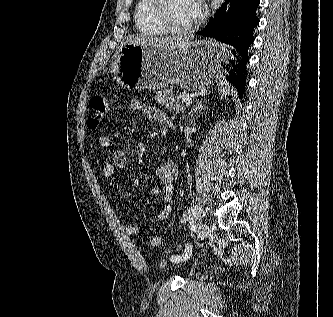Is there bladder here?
<instances>
[{
    "label": "bladder",
    "mask_w": 333,
    "mask_h": 317,
    "mask_svg": "<svg viewBox=\"0 0 333 317\" xmlns=\"http://www.w3.org/2000/svg\"><path fill=\"white\" fill-rule=\"evenodd\" d=\"M158 268L164 272L170 268V262L166 258H162L158 261Z\"/></svg>",
    "instance_id": "1"
}]
</instances>
